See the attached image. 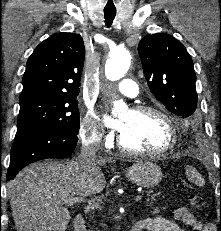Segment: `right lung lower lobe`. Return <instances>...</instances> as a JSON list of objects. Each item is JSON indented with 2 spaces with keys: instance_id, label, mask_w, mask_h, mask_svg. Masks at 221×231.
<instances>
[{
  "instance_id": "obj_1",
  "label": "right lung lower lobe",
  "mask_w": 221,
  "mask_h": 231,
  "mask_svg": "<svg viewBox=\"0 0 221 231\" xmlns=\"http://www.w3.org/2000/svg\"><path fill=\"white\" fill-rule=\"evenodd\" d=\"M78 137L61 129L33 128L14 140L7 180H12L26 165L48 158H66L73 153Z\"/></svg>"
}]
</instances>
